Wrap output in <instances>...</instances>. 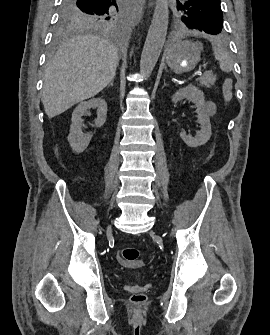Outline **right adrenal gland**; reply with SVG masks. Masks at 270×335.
I'll return each mask as SVG.
<instances>
[{
	"label": "right adrenal gland",
	"instance_id": "obj_1",
	"mask_svg": "<svg viewBox=\"0 0 270 335\" xmlns=\"http://www.w3.org/2000/svg\"><path fill=\"white\" fill-rule=\"evenodd\" d=\"M113 82H114V78H113V80H111L109 86H113Z\"/></svg>",
	"mask_w": 270,
	"mask_h": 335
}]
</instances>
